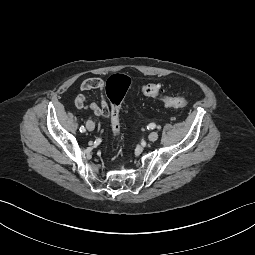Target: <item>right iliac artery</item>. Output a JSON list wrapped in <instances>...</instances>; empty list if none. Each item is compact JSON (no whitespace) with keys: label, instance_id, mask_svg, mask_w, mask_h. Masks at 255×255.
Masks as SVG:
<instances>
[{"label":"right iliac artery","instance_id":"obj_1","mask_svg":"<svg viewBox=\"0 0 255 255\" xmlns=\"http://www.w3.org/2000/svg\"><path fill=\"white\" fill-rule=\"evenodd\" d=\"M85 131H86L85 127H84V126H81V127H80V132L83 133V132H85Z\"/></svg>","mask_w":255,"mask_h":255}]
</instances>
